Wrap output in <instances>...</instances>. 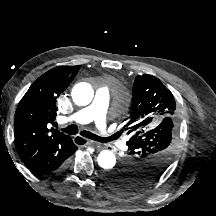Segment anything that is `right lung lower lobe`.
I'll list each match as a JSON object with an SVG mask.
<instances>
[{
	"label": "right lung lower lobe",
	"mask_w": 216,
	"mask_h": 216,
	"mask_svg": "<svg viewBox=\"0 0 216 216\" xmlns=\"http://www.w3.org/2000/svg\"><path fill=\"white\" fill-rule=\"evenodd\" d=\"M77 146L73 144L69 148H64L53 154L41 164L31 168L30 170L37 175H50L53 172L61 169L67 158H69L75 151Z\"/></svg>",
	"instance_id": "1"
}]
</instances>
